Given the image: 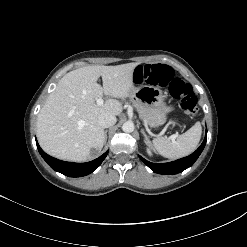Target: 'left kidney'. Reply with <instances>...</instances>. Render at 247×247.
I'll return each mask as SVG.
<instances>
[{"label":"left kidney","instance_id":"obj_1","mask_svg":"<svg viewBox=\"0 0 247 247\" xmlns=\"http://www.w3.org/2000/svg\"><path fill=\"white\" fill-rule=\"evenodd\" d=\"M146 151H147V154L151 157L152 156V151H151L150 145H148Z\"/></svg>","mask_w":247,"mask_h":247}]
</instances>
